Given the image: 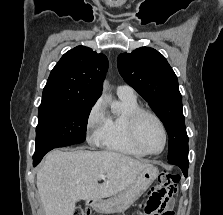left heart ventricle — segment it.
I'll list each match as a JSON object with an SVG mask.
<instances>
[{"mask_svg": "<svg viewBox=\"0 0 223 215\" xmlns=\"http://www.w3.org/2000/svg\"><path fill=\"white\" fill-rule=\"evenodd\" d=\"M138 144L144 152H157L162 146V134L158 124L144 117L138 126Z\"/></svg>", "mask_w": 223, "mask_h": 215, "instance_id": "1", "label": "left heart ventricle"}]
</instances>
